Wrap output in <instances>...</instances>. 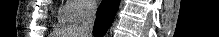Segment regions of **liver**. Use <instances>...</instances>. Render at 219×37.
<instances>
[{
	"label": "liver",
	"mask_w": 219,
	"mask_h": 37,
	"mask_svg": "<svg viewBox=\"0 0 219 37\" xmlns=\"http://www.w3.org/2000/svg\"><path fill=\"white\" fill-rule=\"evenodd\" d=\"M71 35H78V33H72ZM76 37H80V36H76Z\"/></svg>",
	"instance_id": "liver-1"
}]
</instances>
